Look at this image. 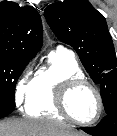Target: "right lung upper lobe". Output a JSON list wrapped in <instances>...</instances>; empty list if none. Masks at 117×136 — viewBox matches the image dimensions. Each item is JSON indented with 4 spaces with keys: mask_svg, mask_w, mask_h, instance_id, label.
<instances>
[{
    "mask_svg": "<svg viewBox=\"0 0 117 136\" xmlns=\"http://www.w3.org/2000/svg\"><path fill=\"white\" fill-rule=\"evenodd\" d=\"M43 41L39 13L30 6L0 3V56L31 60Z\"/></svg>",
    "mask_w": 117,
    "mask_h": 136,
    "instance_id": "right-lung-upper-lobe-1",
    "label": "right lung upper lobe"
}]
</instances>
